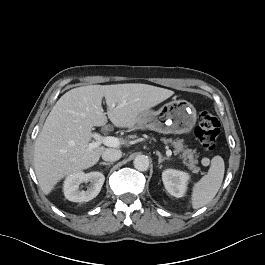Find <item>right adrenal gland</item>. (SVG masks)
<instances>
[{"label":"right adrenal gland","instance_id":"2a0ac1e0","mask_svg":"<svg viewBox=\"0 0 265 265\" xmlns=\"http://www.w3.org/2000/svg\"><path fill=\"white\" fill-rule=\"evenodd\" d=\"M112 164H113L112 162H100V165H108V166H110Z\"/></svg>","mask_w":265,"mask_h":265}]
</instances>
